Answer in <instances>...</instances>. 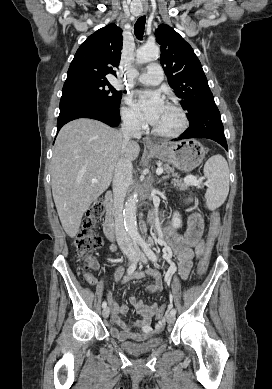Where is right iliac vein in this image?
Wrapping results in <instances>:
<instances>
[{"label":"right iliac vein","mask_w":272,"mask_h":389,"mask_svg":"<svg viewBox=\"0 0 272 389\" xmlns=\"http://www.w3.org/2000/svg\"><path fill=\"white\" fill-rule=\"evenodd\" d=\"M127 259L129 262H131L134 259V253L130 252L127 254ZM110 309L108 307H105L102 311V315L104 318H107L109 316Z\"/></svg>","instance_id":"63e3f726"}]
</instances>
